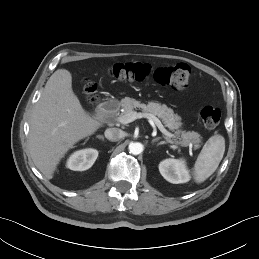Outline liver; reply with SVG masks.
<instances>
[{"label":"liver","mask_w":259,"mask_h":259,"mask_svg":"<svg viewBox=\"0 0 259 259\" xmlns=\"http://www.w3.org/2000/svg\"><path fill=\"white\" fill-rule=\"evenodd\" d=\"M102 123L82 107L72 90V75L56 70L47 81L30 120L29 152L38 170L51 179L67 151Z\"/></svg>","instance_id":"obj_1"}]
</instances>
